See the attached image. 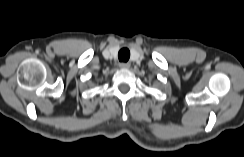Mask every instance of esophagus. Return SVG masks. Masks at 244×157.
<instances>
[{"mask_svg":"<svg viewBox=\"0 0 244 157\" xmlns=\"http://www.w3.org/2000/svg\"><path fill=\"white\" fill-rule=\"evenodd\" d=\"M119 67L120 68H129L130 67V63H119Z\"/></svg>","mask_w":244,"mask_h":157,"instance_id":"1","label":"esophagus"}]
</instances>
